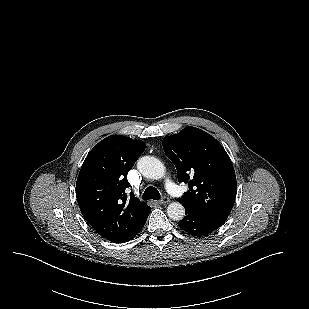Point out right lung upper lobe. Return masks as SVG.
<instances>
[{
  "instance_id": "cb5924a9",
  "label": "right lung upper lobe",
  "mask_w": 309,
  "mask_h": 309,
  "mask_svg": "<svg viewBox=\"0 0 309 309\" xmlns=\"http://www.w3.org/2000/svg\"><path fill=\"white\" fill-rule=\"evenodd\" d=\"M145 150L144 142L111 135L89 152L81 167L76 197L85 220L103 238L115 241L133 233L151 208L133 193L127 174Z\"/></svg>"
}]
</instances>
